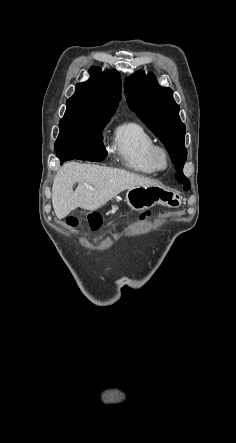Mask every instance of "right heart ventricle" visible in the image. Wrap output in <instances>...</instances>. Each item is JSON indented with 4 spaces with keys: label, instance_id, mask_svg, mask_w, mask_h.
Returning <instances> with one entry per match:
<instances>
[{
    "label": "right heart ventricle",
    "instance_id": "e07e8e85",
    "mask_svg": "<svg viewBox=\"0 0 236 443\" xmlns=\"http://www.w3.org/2000/svg\"><path fill=\"white\" fill-rule=\"evenodd\" d=\"M155 145L153 136L137 122H124L115 130L114 153L122 166L134 172L141 174L157 172L151 159V151Z\"/></svg>",
    "mask_w": 236,
    "mask_h": 443
}]
</instances>
